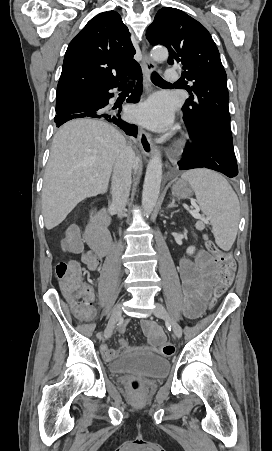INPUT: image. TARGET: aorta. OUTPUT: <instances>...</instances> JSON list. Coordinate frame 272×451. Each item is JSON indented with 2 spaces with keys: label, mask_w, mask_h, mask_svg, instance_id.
<instances>
[{
  "label": "aorta",
  "mask_w": 272,
  "mask_h": 451,
  "mask_svg": "<svg viewBox=\"0 0 272 451\" xmlns=\"http://www.w3.org/2000/svg\"><path fill=\"white\" fill-rule=\"evenodd\" d=\"M155 62H164L168 58L167 48H153L150 54ZM162 180V160L160 152L155 150L146 170L145 182L142 192V208L144 214H152L159 198Z\"/></svg>",
  "instance_id": "aorta-1"
}]
</instances>
